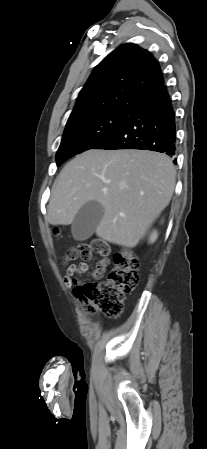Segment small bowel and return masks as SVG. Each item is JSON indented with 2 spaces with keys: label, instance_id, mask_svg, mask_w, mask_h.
Wrapping results in <instances>:
<instances>
[{
  "label": "small bowel",
  "instance_id": "small-bowel-1",
  "mask_svg": "<svg viewBox=\"0 0 207 449\" xmlns=\"http://www.w3.org/2000/svg\"><path fill=\"white\" fill-rule=\"evenodd\" d=\"M88 264L85 262H79L76 264L70 265L66 270V275L64 277V284L66 286H71L77 283V279L74 277L78 274H83L87 272Z\"/></svg>",
  "mask_w": 207,
  "mask_h": 449
}]
</instances>
